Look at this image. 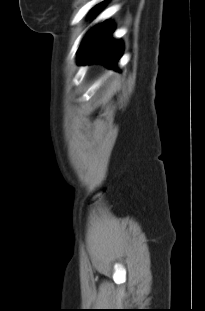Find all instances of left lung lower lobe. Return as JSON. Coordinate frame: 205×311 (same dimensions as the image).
Listing matches in <instances>:
<instances>
[{
    "mask_svg": "<svg viewBox=\"0 0 205 311\" xmlns=\"http://www.w3.org/2000/svg\"><path fill=\"white\" fill-rule=\"evenodd\" d=\"M113 29L111 23H105L83 41L78 50V65L102 63L118 71L116 63L121 57L123 45L121 41L110 38Z\"/></svg>",
    "mask_w": 205,
    "mask_h": 311,
    "instance_id": "obj_1",
    "label": "left lung lower lobe"
}]
</instances>
